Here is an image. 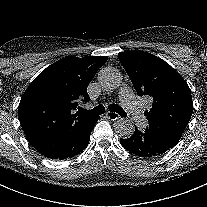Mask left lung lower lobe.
<instances>
[{
  "mask_svg": "<svg viewBox=\"0 0 207 207\" xmlns=\"http://www.w3.org/2000/svg\"><path fill=\"white\" fill-rule=\"evenodd\" d=\"M121 145L129 152L141 157H154L163 154L172 147L153 133L135 129L134 134L127 139H120Z\"/></svg>",
  "mask_w": 207,
  "mask_h": 207,
  "instance_id": "left-lung-lower-lobe-1",
  "label": "left lung lower lobe"
}]
</instances>
